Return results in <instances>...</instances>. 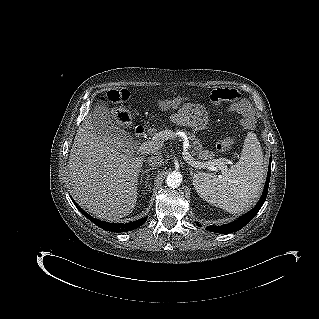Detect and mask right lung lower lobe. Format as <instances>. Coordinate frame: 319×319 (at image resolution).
I'll use <instances>...</instances> for the list:
<instances>
[{
  "mask_svg": "<svg viewBox=\"0 0 319 319\" xmlns=\"http://www.w3.org/2000/svg\"><path fill=\"white\" fill-rule=\"evenodd\" d=\"M74 204H76V203L74 202ZM76 207L91 222H93L94 224H96L100 228H102V229H104L106 231H111V232H127V231H131V230L136 229V228L140 227L141 225H143L146 222V220H147V217H144V218H142L140 220H137V221H134V222H130V223H126V224L108 223V222L100 221V220H97V219L93 218L92 216L87 214L83 209H81L79 206H77V204H76Z\"/></svg>",
  "mask_w": 319,
  "mask_h": 319,
  "instance_id": "98d812e1",
  "label": "right lung lower lobe"
}]
</instances>
